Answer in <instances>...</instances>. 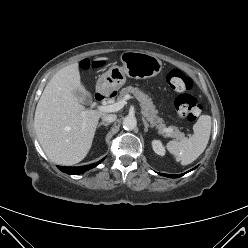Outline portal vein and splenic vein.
I'll return each instance as SVG.
<instances>
[{"mask_svg":"<svg viewBox=\"0 0 248 248\" xmlns=\"http://www.w3.org/2000/svg\"><path fill=\"white\" fill-rule=\"evenodd\" d=\"M132 97L127 94L123 100L121 101H118L114 104H111V105H102V106H98V110L99 111H102V112H116V111H119L120 109H122L126 103H127V100L131 99Z\"/></svg>","mask_w":248,"mask_h":248,"instance_id":"obj_1","label":"portal vein and splenic vein"}]
</instances>
